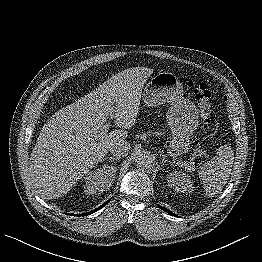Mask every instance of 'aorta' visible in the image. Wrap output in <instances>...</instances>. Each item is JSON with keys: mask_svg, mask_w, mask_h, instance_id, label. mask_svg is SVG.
Here are the masks:
<instances>
[{"mask_svg": "<svg viewBox=\"0 0 262 262\" xmlns=\"http://www.w3.org/2000/svg\"><path fill=\"white\" fill-rule=\"evenodd\" d=\"M137 167L141 170H148L152 167L149 156L145 153H139L136 159Z\"/></svg>", "mask_w": 262, "mask_h": 262, "instance_id": "obj_1", "label": "aorta"}]
</instances>
